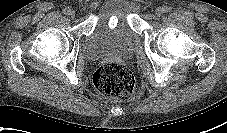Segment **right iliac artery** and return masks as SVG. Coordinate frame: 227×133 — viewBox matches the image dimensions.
<instances>
[{
  "label": "right iliac artery",
  "mask_w": 227,
  "mask_h": 133,
  "mask_svg": "<svg viewBox=\"0 0 227 133\" xmlns=\"http://www.w3.org/2000/svg\"><path fill=\"white\" fill-rule=\"evenodd\" d=\"M69 12H70V8L69 7L64 8L63 13L65 15H69Z\"/></svg>",
  "instance_id": "obj_1"
}]
</instances>
